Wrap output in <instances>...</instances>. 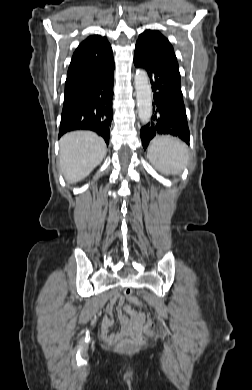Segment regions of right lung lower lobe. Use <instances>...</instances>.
I'll list each match as a JSON object with an SVG mask.
<instances>
[{
	"instance_id": "98d812e1",
	"label": "right lung lower lobe",
	"mask_w": 252,
	"mask_h": 390,
	"mask_svg": "<svg viewBox=\"0 0 252 390\" xmlns=\"http://www.w3.org/2000/svg\"><path fill=\"white\" fill-rule=\"evenodd\" d=\"M113 81L114 65L103 76L65 88L59 137L71 130L87 129L102 136L108 145L113 119Z\"/></svg>"
}]
</instances>
